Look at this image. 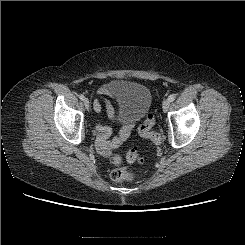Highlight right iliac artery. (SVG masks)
Returning a JSON list of instances; mask_svg holds the SVG:
<instances>
[{"mask_svg": "<svg viewBox=\"0 0 245 245\" xmlns=\"http://www.w3.org/2000/svg\"><path fill=\"white\" fill-rule=\"evenodd\" d=\"M79 98H80L81 100H84V99H85V96H84L83 94H80V95H79Z\"/></svg>", "mask_w": 245, "mask_h": 245, "instance_id": "82829eb1", "label": "right iliac artery"}]
</instances>
